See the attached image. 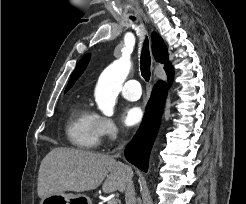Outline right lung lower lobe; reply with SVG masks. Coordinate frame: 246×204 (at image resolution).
I'll list each match as a JSON object with an SVG mask.
<instances>
[{
  "mask_svg": "<svg viewBox=\"0 0 246 204\" xmlns=\"http://www.w3.org/2000/svg\"><path fill=\"white\" fill-rule=\"evenodd\" d=\"M167 75L171 81L172 69L167 71ZM166 93V84L159 82L153 89L140 129L125 149L126 159L144 172H147L148 159L158 131Z\"/></svg>",
  "mask_w": 246,
  "mask_h": 204,
  "instance_id": "obj_1",
  "label": "right lung lower lobe"
}]
</instances>
